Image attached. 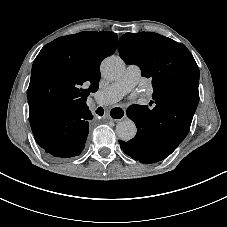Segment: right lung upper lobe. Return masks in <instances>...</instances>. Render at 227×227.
<instances>
[{"label": "right lung upper lobe", "instance_id": "right-lung-upper-lobe-1", "mask_svg": "<svg viewBox=\"0 0 227 227\" xmlns=\"http://www.w3.org/2000/svg\"><path fill=\"white\" fill-rule=\"evenodd\" d=\"M117 41L116 33L90 31L45 45L33 63L29 104L50 105L56 112L85 106L90 91L98 89L100 63L114 53Z\"/></svg>", "mask_w": 227, "mask_h": 227}]
</instances>
